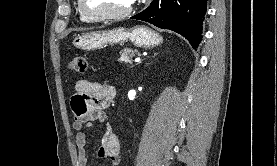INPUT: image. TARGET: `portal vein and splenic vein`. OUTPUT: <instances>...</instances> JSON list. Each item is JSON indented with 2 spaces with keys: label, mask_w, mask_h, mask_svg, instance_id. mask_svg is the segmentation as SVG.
Returning <instances> with one entry per match:
<instances>
[{
  "label": "portal vein and splenic vein",
  "mask_w": 277,
  "mask_h": 166,
  "mask_svg": "<svg viewBox=\"0 0 277 166\" xmlns=\"http://www.w3.org/2000/svg\"><path fill=\"white\" fill-rule=\"evenodd\" d=\"M140 61V58H135V62H139Z\"/></svg>",
  "instance_id": "1"
}]
</instances>
